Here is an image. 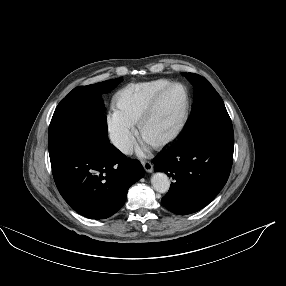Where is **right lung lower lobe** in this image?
I'll list each match as a JSON object with an SVG mask.
<instances>
[{
    "label": "right lung lower lobe",
    "instance_id": "1",
    "mask_svg": "<svg viewBox=\"0 0 286 286\" xmlns=\"http://www.w3.org/2000/svg\"><path fill=\"white\" fill-rule=\"evenodd\" d=\"M53 177L64 200L79 214L105 219L125 203L129 187L142 178L143 167L114 147L106 155L86 144L50 157Z\"/></svg>",
    "mask_w": 286,
    "mask_h": 286
}]
</instances>
